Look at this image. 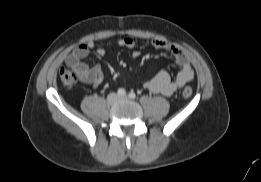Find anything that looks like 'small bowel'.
Segmentation results:
<instances>
[{
  "label": "small bowel",
  "instance_id": "1",
  "mask_svg": "<svg viewBox=\"0 0 261 182\" xmlns=\"http://www.w3.org/2000/svg\"><path fill=\"white\" fill-rule=\"evenodd\" d=\"M137 40L134 37L122 38L118 41V45L128 49H132V56L139 57L140 52L134 50ZM152 47L163 50L169 53L180 66V71L173 79L167 71H160L152 79L144 83V88L156 94L170 96L177 89L189 83L193 77L194 72L190 64L189 57L177 46L170 44L160 39H153L148 42ZM95 43L88 41L78 45L67 57L66 64L74 70L81 80L91 86H99L104 82V75L102 68L99 65L90 67L84 62V59L89 55V52L94 48ZM98 56H104L106 50L102 47L96 50Z\"/></svg>",
  "mask_w": 261,
  "mask_h": 182
}]
</instances>
